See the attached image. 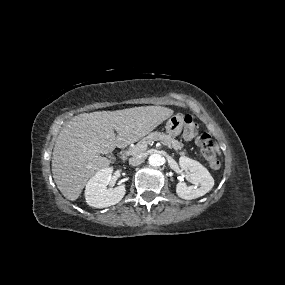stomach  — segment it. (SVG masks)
<instances>
[{"label": "stomach", "mask_w": 285, "mask_h": 285, "mask_svg": "<svg viewBox=\"0 0 285 285\" xmlns=\"http://www.w3.org/2000/svg\"><path fill=\"white\" fill-rule=\"evenodd\" d=\"M182 128L183 118L178 114L170 116L165 125L166 132L172 137L178 136L181 133Z\"/></svg>", "instance_id": "1"}]
</instances>
